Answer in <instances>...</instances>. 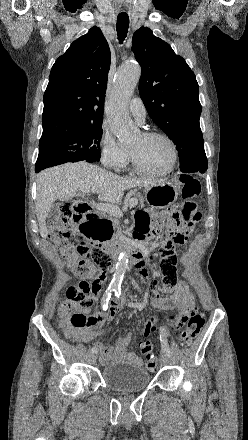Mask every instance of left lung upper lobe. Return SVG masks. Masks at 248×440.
I'll list each match as a JSON object with an SVG mask.
<instances>
[{
    "label": "left lung upper lobe",
    "mask_w": 248,
    "mask_h": 440,
    "mask_svg": "<svg viewBox=\"0 0 248 440\" xmlns=\"http://www.w3.org/2000/svg\"><path fill=\"white\" fill-rule=\"evenodd\" d=\"M132 50L142 68L139 93L149 116L176 144L182 172L207 169L199 119V86L185 60L141 27Z\"/></svg>",
    "instance_id": "left-lung-upper-lobe-1"
}]
</instances>
